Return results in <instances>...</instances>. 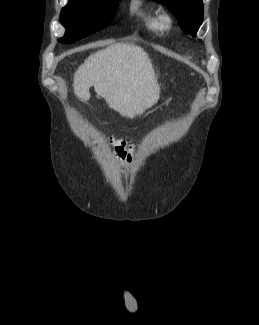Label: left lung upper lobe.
Instances as JSON below:
<instances>
[{"instance_id":"1","label":"left lung upper lobe","mask_w":259,"mask_h":325,"mask_svg":"<svg viewBox=\"0 0 259 325\" xmlns=\"http://www.w3.org/2000/svg\"><path fill=\"white\" fill-rule=\"evenodd\" d=\"M167 5L178 19L180 28L191 36L196 33L203 21L202 0H156Z\"/></svg>"}]
</instances>
